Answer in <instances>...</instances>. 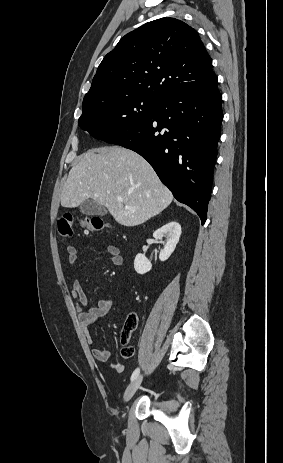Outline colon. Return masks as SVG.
I'll return each instance as SVG.
<instances>
[{
  "label": "colon",
  "instance_id": "colon-1",
  "mask_svg": "<svg viewBox=\"0 0 283 463\" xmlns=\"http://www.w3.org/2000/svg\"><path fill=\"white\" fill-rule=\"evenodd\" d=\"M78 224L85 232H99L108 228L107 223L99 217H88L75 220L71 215H65L58 219L57 227L61 236L68 237L73 234L74 225ZM137 319L134 315L127 318L122 332L121 355L125 359H131L135 355L134 347L129 345V335L135 329Z\"/></svg>",
  "mask_w": 283,
  "mask_h": 463
}]
</instances>
